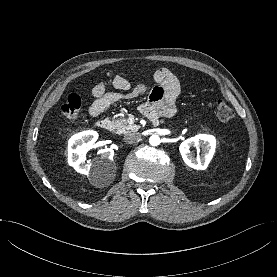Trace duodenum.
<instances>
[{
    "label": "duodenum",
    "mask_w": 277,
    "mask_h": 277,
    "mask_svg": "<svg viewBox=\"0 0 277 277\" xmlns=\"http://www.w3.org/2000/svg\"><path fill=\"white\" fill-rule=\"evenodd\" d=\"M153 120L155 121V119ZM96 126L102 130H108L110 128V123L109 121L103 119V120L97 121Z\"/></svg>",
    "instance_id": "duodenum-1"
}]
</instances>
